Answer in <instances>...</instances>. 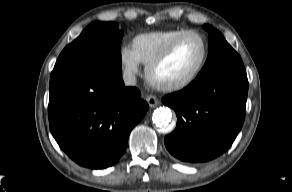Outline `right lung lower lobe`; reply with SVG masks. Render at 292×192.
Listing matches in <instances>:
<instances>
[{
    "mask_svg": "<svg viewBox=\"0 0 292 192\" xmlns=\"http://www.w3.org/2000/svg\"><path fill=\"white\" fill-rule=\"evenodd\" d=\"M50 130L76 163L92 169L113 165L149 106L121 69L101 59H58L50 78Z\"/></svg>",
    "mask_w": 292,
    "mask_h": 192,
    "instance_id": "right-lung-lower-lobe-1",
    "label": "right lung lower lobe"
}]
</instances>
